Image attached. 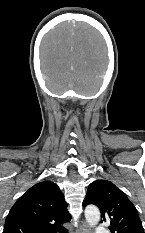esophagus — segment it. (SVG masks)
Returning a JSON list of instances; mask_svg holds the SVG:
<instances>
[{"label": "esophagus", "mask_w": 145, "mask_h": 233, "mask_svg": "<svg viewBox=\"0 0 145 233\" xmlns=\"http://www.w3.org/2000/svg\"><path fill=\"white\" fill-rule=\"evenodd\" d=\"M74 233H90L88 224L86 222H82L80 227L76 229Z\"/></svg>", "instance_id": "esophagus-1"}]
</instances>
